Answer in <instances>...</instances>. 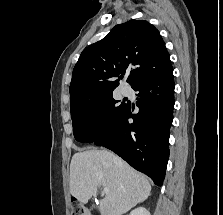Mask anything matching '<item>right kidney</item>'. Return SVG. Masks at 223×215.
Listing matches in <instances>:
<instances>
[{"label": "right kidney", "instance_id": "ca27d5eb", "mask_svg": "<svg viewBox=\"0 0 223 215\" xmlns=\"http://www.w3.org/2000/svg\"><path fill=\"white\" fill-rule=\"evenodd\" d=\"M129 215H150V211L146 207H136V209L130 211Z\"/></svg>", "mask_w": 223, "mask_h": 215}]
</instances>
